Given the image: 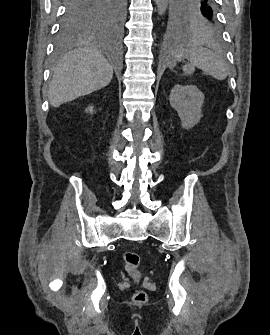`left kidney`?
I'll return each mask as SVG.
<instances>
[{
    "instance_id": "5707ae66",
    "label": "left kidney",
    "mask_w": 270,
    "mask_h": 335,
    "mask_svg": "<svg viewBox=\"0 0 270 335\" xmlns=\"http://www.w3.org/2000/svg\"><path fill=\"white\" fill-rule=\"evenodd\" d=\"M204 94L198 90L197 86H174L170 94V104L182 122V128H193L202 118V104Z\"/></svg>"
}]
</instances>
